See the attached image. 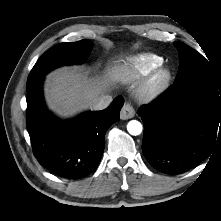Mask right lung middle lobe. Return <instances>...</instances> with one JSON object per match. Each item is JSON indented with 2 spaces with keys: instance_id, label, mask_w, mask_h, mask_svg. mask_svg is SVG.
<instances>
[{
  "instance_id": "1",
  "label": "right lung middle lobe",
  "mask_w": 221,
  "mask_h": 221,
  "mask_svg": "<svg viewBox=\"0 0 221 221\" xmlns=\"http://www.w3.org/2000/svg\"><path fill=\"white\" fill-rule=\"evenodd\" d=\"M93 43L81 40L75 43H60L46 53L36 62L31 70L27 86L33 85L51 70L66 64L81 63L91 50Z\"/></svg>"
}]
</instances>
